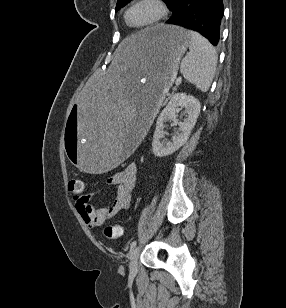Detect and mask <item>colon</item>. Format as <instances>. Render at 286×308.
<instances>
[{
    "mask_svg": "<svg viewBox=\"0 0 286 308\" xmlns=\"http://www.w3.org/2000/svg\"><path fill=\"white\" fill-rule=\"evenodd\" d=\"M83 181L80 179H72L68 188L70 192H79L82 190ZM103 234L108 239H117L122 235V227L120 225H106Z\"/></svg>",
    "mask_w": 286,
    "mask_h": 308,
    "instance_id": "obj_1",
    "label": "colon"
}]
</instances>
